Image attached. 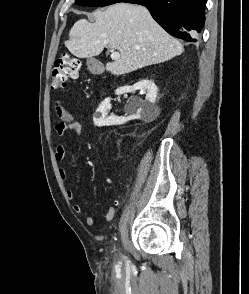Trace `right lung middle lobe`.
Masks as SVG:
<instances>
[{
  "label": "right lung middle lobe",
  "instance_id": "1",
  "mask_svg": "<svg viewBox=\"0 0 249 294\" xmlns=\"http://www.w3.org/2000/svg\"><path fill=\"white\" fill-rule=\"evenodd\" d=\"M119 0H76V4L82 6H107L117 3Z\"/></svg>",
  "mask_w": 249,
  "mask_h": 294
}]
</instances>
